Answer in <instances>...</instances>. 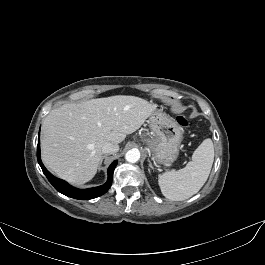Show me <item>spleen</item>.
Masks as SVG:
<instances>
[{
	"instance_id": "obj_1",
	"label": "spleen",
	"mask_w": 265,
	"mask_h": 265,
	"mask_svg": "<svg viewBox=\"0 0 265 265\" xmlns=\"http://www.w3.org/2000/svg\"><path fill=\"white\" fill-rule=\"evenodd\" d=\"M214 161V146L205 139L192 155V161L178 170L159 177L162 194L169 200L181 201L196 194L208 179Z\"/></svg>"
}]
</instances>
